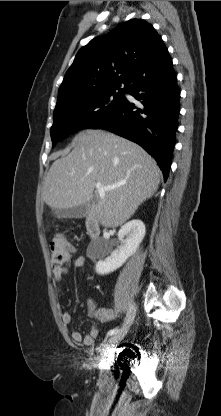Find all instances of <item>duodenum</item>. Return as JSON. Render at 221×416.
Masks as SVG:
<instances>
[{"instance_id": "obj_1", "label": "duodenum", "mask_w": 221, "mask_h": 416, "mask_svg": "<svg viewBox=\"0 0 221 416\" xmlns=\"http://www.w3.org/2000/svg\"><path fill=\"white\" fill-rule=\"evenodd\" d=\"M86 230L90 239H95L99 237L101 233V228L98 220L94 217L88 218L86 223Z\"/></svg>"}]
</instances>
